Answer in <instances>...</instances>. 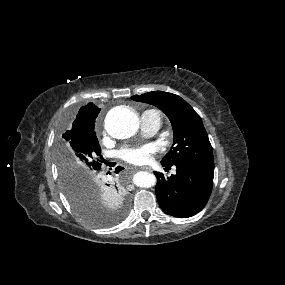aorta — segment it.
<instances>
[{
    "label": "aorta",
    "mask_w": 285,
    "mask_h": 285,
    "mask_svg": "<svg viewBox=\"0 0 285 285\" xmlns=\"http://www.w3.org/2000/svg\"><path fill=\"white\" fill-rule=\"evenodd\" d=\"M105 129L117 139H125L134 135L139 128V119L135 111L127 106L112 108L105 118ZM133 182L141 188H150L156 184L154 174L140 171L133 176Z\"/></svg>",
    "instance_id": "762f6f07"
}]
</instances>
